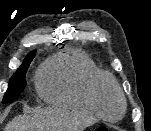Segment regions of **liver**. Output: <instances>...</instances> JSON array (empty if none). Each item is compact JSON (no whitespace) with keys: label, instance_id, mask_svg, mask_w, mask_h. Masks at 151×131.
<instances>
[{"label":"liver","instance_id":"liver-1","mask_svg":"<svg viewBox=\"0 0 151 131\" xmlns=\"http://www.w3.org/2000/svg\"><path fill=\"white\" fill-rule=\"evenodd\" d=\"M95 122V118L81 112L47 108L16 116L4 131H83Z\"/></svg>","mask_w":151,"mask_h":131}]
</instances>
